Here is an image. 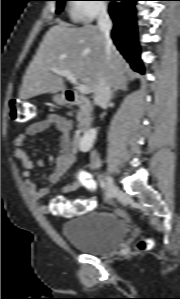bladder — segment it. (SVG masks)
I'll return each mask as SVG.
<instances>
[{
  "label": "bladder",
  "instance_id": "bladder-1",
  "mask_svg": "<svg viewBox=\"0 0 180 299\" xmlns=\"http://www.w3.org/2000/svg\"><path fill=\"white\" fill-rule=\"evenodd\" d=\"M126 233L121 218L108 212L82 214L62 226L63 237L72 247L98 256L117 252Z\"/></svg>",
  "mask_w": 180,
  "mask_h": 299
}]
</instances>
